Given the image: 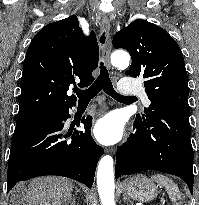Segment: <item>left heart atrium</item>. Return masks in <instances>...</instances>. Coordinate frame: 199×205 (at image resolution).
Masks as SVG:
<instances>
[{
    "label": "left heart atrium",
    "mask_w": 199,
    "mask_h": 205,
    "mask_svg": "<svg viewBox=\"0 0 199 205\" xmlns=\"http://www.w3.org/2000/svg\"><path fill=\"white\" fill-rule=\"evenodd\" d=\"M123 131V120L116 113H109L100 118L93 129L95 138L105 145L118 142L123 136Z\"/></svg>",
    "instance_id": "39dd6f15"
}]
</instances>
